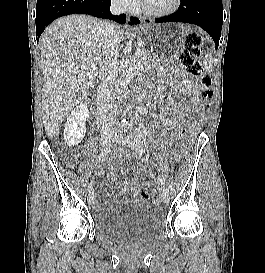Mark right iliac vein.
<instances>
[{"label":"right iliac vein","mask_w":265,"mask_h":273,"mask_svg":"<svg viewBox=\"0 0 265 273\" xmlns=\"http://www.w3.org/2000/svg\"><path fill=\"white\" fill-rule=\"evenodd\" d=\"M114 142V138L113 135L111 133H107L103 136V145L108 147L111 146L112 143ZM95 200V196L93 193H89L88 197H87V202L88 204H93Z\"/></svg>","instance_id":"1"}]
</instances>
